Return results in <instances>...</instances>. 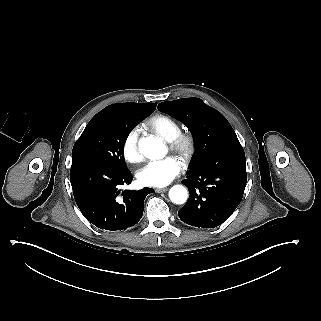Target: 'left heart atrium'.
I'll list each match as a JSON object with an SVG mask.
<instances>
[{"label":"left heart atrium","instance_id":"39dd6f15","mask_svg":"<svg viewBox=\"0 0 321 321\" xmlns=\"http://www.w3.org/2000/svg\"><path fill=\"white\" fill-rule=\"evenodd\" d=\"M184 169L183 162L175 156L150 161L137 173L144 186L163 187L171 183Z\"/></svg>","mask_w":321,"mask_h":321}]
</instances>
